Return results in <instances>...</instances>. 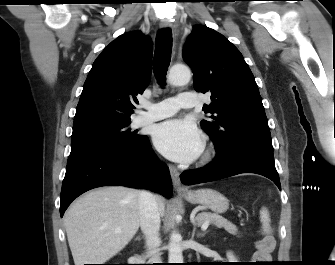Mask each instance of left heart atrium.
I'll return each instance as SVG.
<instances>
[{
	"label": "left heart atrium",
	"mask_w": 335,
	"mask_h": 265,
	"mask_svg": "<svg viewBox=\"0 0 335 265\" xmlns=\"http://www.w3.org/2000/svg\"><path fill=\"white\" fill-rule=\"evenodd\" d=\"M155 147L167 158L190 162L203 150V138L190 121L171 119L157 125L153 132Z\"/></svg>",
	"instance_id": "obj_1"
}]
</instances>
